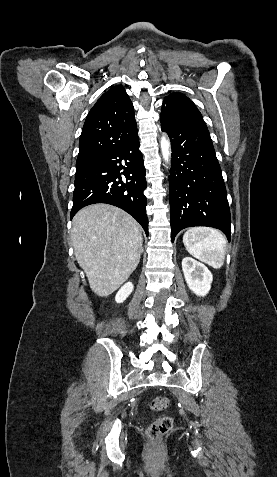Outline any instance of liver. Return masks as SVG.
Wrapping results in <instances>:
<instances>
[{"mask_svg":"<svg viewBox=\"0 0 277 477\" xmlns=\"http://www.w3.org/2000/svg\"><path fill=\"white\" fill-rule=\"evenodd\" d=\"M74 254L99 297L116 291L136 269L142 250L141 226L125 211L93 204L73 218Z\"/></svg>","mask_w":277,"mask_h":477,"instance_id":"1","label":"liver"}]
</instances>
